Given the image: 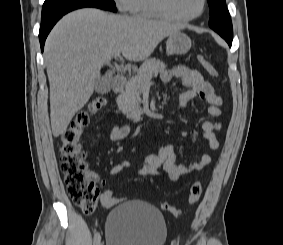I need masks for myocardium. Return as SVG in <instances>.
<instances>
[{"mask_svg":"<svg viewBox=\"0 0 283 245\" xmlns=\"http://www.w3.org/2000/svg\"><path fill=\"white\" fill-rule=\"evenodd\" d=\"M151 1H152V5L154 9L159 14H161L164 18L173 20V21H178V22H190V21L197 19L203 14L205 7H206V3H207V0H201L200 10L195 15L190 16V17H179V16L174 15L170 11L168 7V0H151Z\"/></svg>","mask_w":283,"mask_h":245,"instance_id":"myocardium-1","label":"myocardium"}]
</instances>
